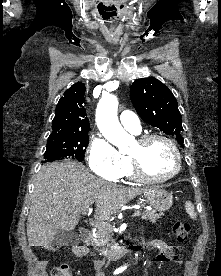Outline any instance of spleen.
Listing matches in <instances>:
<instances>
[{
    "label": "spleen",
    "instance_id": "1",
    "mask_svg": "<svg viewBox=\"0 0 221 276\" xmlns=\"http://www.w3.org/2000/svg\"><path fill=\"white\" fill-rule=\"evenodd\" d=\"M185 210L191 219L196 220L197 214L194 211V205L191 201H186Z\"/></svg>",
    "mask_w": 221,
    "mask_h": 276
}]
</instances>
